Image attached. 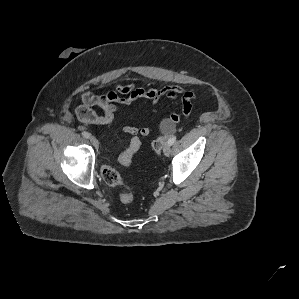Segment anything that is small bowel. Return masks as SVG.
Returning a JSON list of instances; mask_svg holds the SVG:
<instances>
[{
	"label": "small bowel",
	"mask_w": 299,
	"mask_h": 299,
	"mask_svg": "<svg viewBox=\"0 0 299 299\" xmlns=\"http://www.w3.org/2000/svg\"><path fill=\"white\" fill-rule=\"evenodd\" d=\"M171 98L178 101L180 111L170 115L171 124L180 123L187 119L191 113L192 102L195 95L179 86H167L164 88H141L135 83L118 84L115 89L103 95L92 92H84L81 95L82 104L76 109L78 119L86 125H109L118 113L119 105H129L137 100H148L155 107L161 100ZM100 108L101 114L95 111ZM123 130L133 136H147L150 134L149 127H134L124 125Z\"/></svg>",
	"instance_id": "c3829d8e"
}]
</instances>
